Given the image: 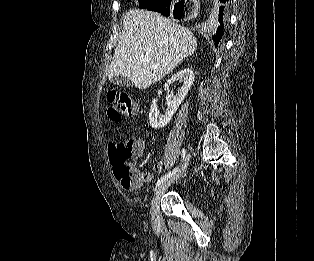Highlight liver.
Returning <instances> with one entry per match:
<instances>
[{"instance_id":"obj_1","label":"liver","mask_w":314,"mask_h":261,"mask_svg":"<svg viewBox=\"0 0 314 261\" xmlns=\"http://www.w3.org/2000/svg\"><path fill=\"white\" fill-rule=\"evenodd\" d=\"M197 49L189 29L159 13L130 9L123 16V31L108 69V77L123 76L147 89L173 71ZM141 57L148 58L147 62ZM157 64L158 68H152Z\"/></svg>"}]
</instances>
